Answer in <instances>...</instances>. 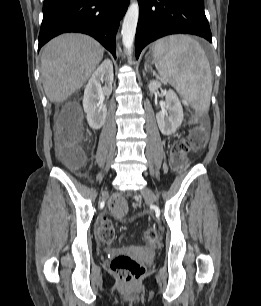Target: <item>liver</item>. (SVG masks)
Listing matches in <instances>:
<instances>
[{
  "mask_svg": "<svg viewBox=\"0 0 261 306\" xmlns=\"http://www.w3.org/2000/svg\"><path fill=\"white\" fill-rule=\"evenodd\" d=\"M104 48L83 34H63L43 49L41 77L47 98L58 103L80 89L103 58Z\"/></svg>",
  "mask_w": 261,
  "mask_h": 306,
  "instance_id": "1",
  "label": "liver"
}]
</instances>
